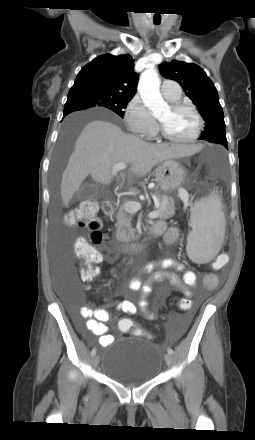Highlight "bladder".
<instances>
[{
	"mask_svg": "<svg viewBox=\"0 0 255 440\" xmlns=\"http://www.w3.org/2000/svg\"><path fill=\"white\" fill-rule=\"evenodd\" d=\"M161 366L162 355L159 348L150 341L136 339V343L126 347L120 344L109 346L102 372L111 380L133 388L152 381Z\"/></svg>",
	"mask_w": 255,
	"mask_h": 440,
	"instance_id": "obj_1",
	"label": "bladder"
}]
</instances>
